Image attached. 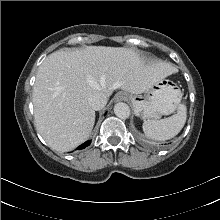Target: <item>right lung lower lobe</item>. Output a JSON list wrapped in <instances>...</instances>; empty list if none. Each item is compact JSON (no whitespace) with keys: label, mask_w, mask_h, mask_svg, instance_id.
<instances>
[{"label":"right lung lower lobe","mask_w":220,"mask_h":220,"mask_svg":"<svg viewBox=\"0 0 220 220\" xmlns=\"http://www.w3.org/2000/svg\"><path fill=\"white\" fill-rule=\"evenodd\" d=\"M91 141H87L85 143H83L82 145H80L79 147H77L78 150L84 149L85 147H87L88 145H90Z\"/></svg>","instance_id":"98d812e1"}]
</instances>
